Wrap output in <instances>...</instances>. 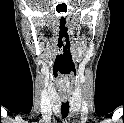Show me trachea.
Here are the masks:
<instances>
[{
	"label": "trachea",
	"instance_id": "3493384b",
	"mask_svg": "<svg viewBox=\"0 0 124 123\" xmlns=\"http://www.w3.org/2000/svg\"><path fill=\"white\" fill-rule=\"evenodd\" d=\"M69 101H65V102H62V105H61V114H62V117L63 118H66L68 116V113H69Z\"/></svg>",
	"mask_w": 124,
	"mask_h": 123
}]
</instances>
